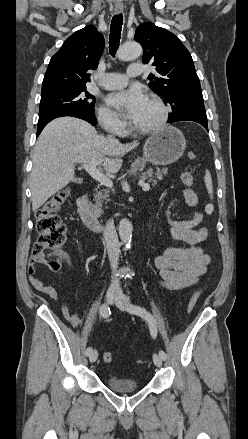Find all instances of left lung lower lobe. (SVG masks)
Returning a JSON list of instances; mask_svg holds the SVG:
<instances>
[{
	"mask_svg": "<svg viewBox=\"0 0 248 439\" xmlns=\"http://www.w3.org/2000/svg\"><path fill=\"white\" fill-rule=\"evenodd\" d=\"M178 121H194L201 124L208 131V123H207L206 115L188 113V114H182L176 116L175 118L168 119L169 123L178 122Z\"/></svg>",
	"mask_w": 248,
	"mask_h": 439,
	"instance_id": "left-lung-lower-lobe-1",
	"label": "left lung lower lobe"
}]
</instances>
